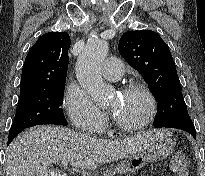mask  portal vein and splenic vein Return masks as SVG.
I'll list each match as a JSON object with an SVG mask.
<instances>
[{
  "label": "portal vein and splenic vein",
  "instance_id": "18ae733b",
  "mask_svg": "<svg viewBox=\"0 0 205 176\" xmlns=\"http://www.w3.org/2000/svg\"><path fill=\"white\" fill-rule=\"evenodd\" d=\"M61 165H62L63 167H67V166H68V161H62V162H61Z\"/></svg>",
  "mask_w": 205,
  "mask_h": 176
}]
</instances>
